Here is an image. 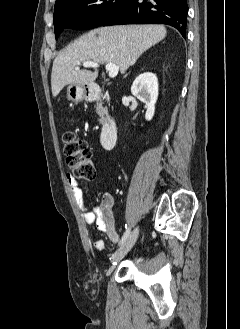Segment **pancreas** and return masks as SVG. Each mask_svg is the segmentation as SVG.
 I'll return each instance as SVG.
<instances>
[{"instance_id":"cf45deb5","label":"pancreas","mask_w":240,"mask_h":329,"mask_svg":"<svg viewBox=\"0 0 240 329\" xmlns=\"http://www.w3.org/2000/svg\"><path fill=\"white\" fill-rule=\"evenodd\" d=\"M96 111H97V113L101 114L102 107H101L100 104H97V106H96ZM99 121L101 122V120H99Z\"/></svg>"}]
</instances>
